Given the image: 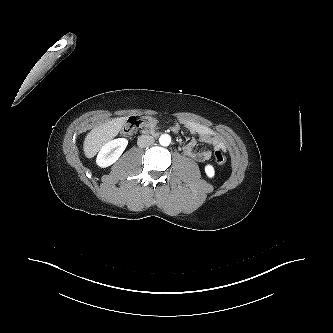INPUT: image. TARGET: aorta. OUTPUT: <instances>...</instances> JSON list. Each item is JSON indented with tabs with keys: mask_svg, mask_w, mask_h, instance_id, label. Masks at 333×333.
Listing matches in <instances>:
<instances>
[{
	"mask_svg": "<svg viewBox=\"0 0 333 333\" xmlns=\"http://www.w3.org/2000/svg\"><path fill=\"white\" fill-rule=\"evenodd\" d=\"M171 142V137L168 134H162L159 138V143L162 146H168Z\"/></svg>",
	"mask_w": 333,
	"mask_h": 333,
	"instance_id": "762f6f07",
	"label": "aorta"
}]
</instances>
